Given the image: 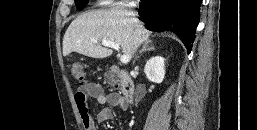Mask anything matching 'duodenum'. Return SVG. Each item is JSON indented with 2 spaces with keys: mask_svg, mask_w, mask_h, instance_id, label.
Segmentation results:
<instances>
[{
  "mask_svg": "<svg viewBox=\"0 0 257 130\" xmlns=\"http://www.w3.org/2000/svg\"><path fill=\"white\" fill-rule=\"evenodd\" d=\"M122 79V95L127 103L132 102L135 92L134 82L131 77L122 70L114 67Z\"/></svg>",
  "mask_w": 257,
  "mask_h": 130,
  "instance_id": "410a0bca",
  "label": "duodenum"
}]
</instances>
